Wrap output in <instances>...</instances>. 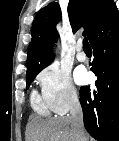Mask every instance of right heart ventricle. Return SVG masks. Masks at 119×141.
Listing matches in <instances>:
<instances>
[{
	"label": "right heart ventricle",
	"mask_w": 119,
	"mask_h": 141,
	"mask_svg": "<svg viewBox=\"0 0 119 141\" xmlns=\"http://www.w3.org/2000/svg\"><path fill=\"white\" fill-rule=\"evenodd\" d=\"M31 103L33 108L42 115H49L50 108L47 106L43 98H41L36 92L32 93Z\"/></svg>",
	"instance_id": "right-heart-ventricle-1"
}]
</instances>
